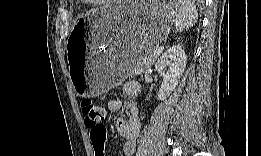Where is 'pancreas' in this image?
<instances>
[{
    "label": "pancreas",
    "mask_w": 261,
    "mask_h": 156,
    "mask_svg": "<svg viewBox=\"0 0 261 156\" xmlns=\"http://www.w3.org/2000/svg\"><path fill=\"white\" fill-rule=\"evenodd\" d=\"M153 51H148L142 56L141 60L138 61L136 66L131 70L130 75L141 74L155 62L156 56L153 55Z\"/></svg>",
    "instance_id": "obj_1"
}]
</instances>
